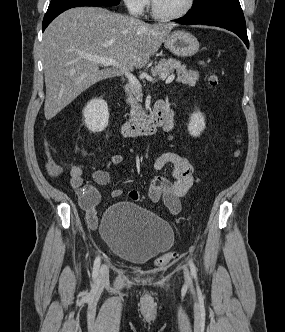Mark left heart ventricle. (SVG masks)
Segmentation results:
<instances>
[{
    "instance_id": "1",
    "label": "left heart ventricle",
    "mask_w": 285,
    "mask_h": 332,
    "mask_svg": "<svg viewBox=\"0 0 285 332\" xmlns=\"http://www.w3.org/2000/svg\"><path fill=\"white\" fill-rule=\"evenodd\" d=\"M156 10L161 14L173 15L182 11L188 0H153Z\"/></svg>"
}]
</instances>
